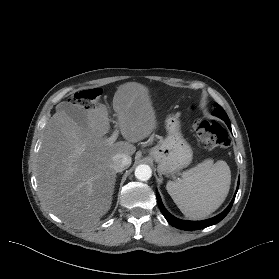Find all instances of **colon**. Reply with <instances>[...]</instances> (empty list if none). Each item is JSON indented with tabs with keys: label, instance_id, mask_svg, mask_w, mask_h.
Segmentation results:
<instances>
[{
	"label": "colon",
	"instance_id": "1",
	"mask_svg": "<svg viewBox=\"0 0 279 279\" xmlns=\"http://www.w3.org/2000/svg\"><path fill=\"white\" fill-rule=\"evenodd\" d=\"M100 96V89H89L77 94L74 102L82 108L92 109L96 106ZM193 129L201 143L207 148H226L230 144L228 132L218 122L196 120Z\"/></svg>",
	"mask_w": 279,
	"mask_h": 279
}]
</instances>
